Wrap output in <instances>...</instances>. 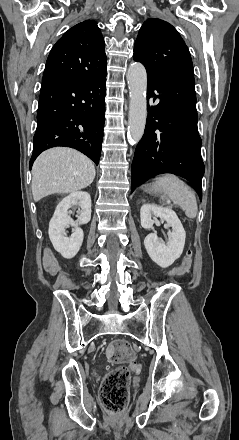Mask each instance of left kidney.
Listing matches in <instances>:
<instances>
[{
    "label": "left kidney",
    "instance_id": "5707ae66",
    "mask_svg": "<svg viewBox=\"0 0 239 440\" xmlns=\"http://www.w3.org/2000/svg\"><path fill=\"white\" fill-rule=\"evenodd\" d=\"M157 218H160L162 222H167V226H171L172 232L167 234L171 240L166 246L163 242H159L157 234H148L144 240V246L155 264H158L160 268H168L180 258L185 244L186 232L173 210L161 208L156 204H143L140 210L142 228L145 230L153 228V224H158Z\"/></svg>",
    "mask_w": 239,
    "mask_h": 440
}]
</instances>
